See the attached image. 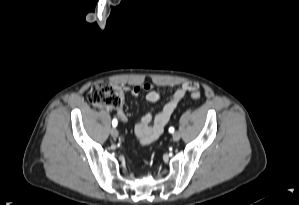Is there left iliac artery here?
<instances>
[{
    "label": "left iliac artery",
    "mask_w": 299,
    "mask_h": 205,
    "mask_svg": "<svg viewBox=\"0 0 299 205\" xmlns=\"http://www.w3.org/2000/svg\"><path fill=\"white\" fill-rule=\"evenodd\" d=\"M169 132H170V133H173V132H174V128H173V127H170V128H169Z\"/></svg>",
    "instance_id": "left-iliac-artery-1"
}]
</instances>
